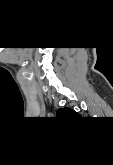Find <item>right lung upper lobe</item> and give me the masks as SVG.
<instances>
[{"mask_svg":"<svg viewBox=\"0 0 113 165\" xmlns=\"http://www.w3.org/2000/svg\"><path fill=\"white\" fill-rule=\"evenodd\" d=\"M57 115L74 116V115H77V113L74 110H71L69 108H61L58 110Z\"/></svg>","mask_w":113,"mask_h":165,"instance_id":"obj_1","label":"right lung upper lobe"}]
</instances>
